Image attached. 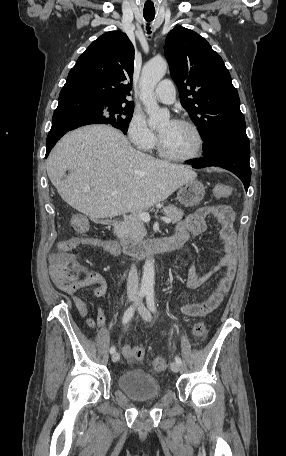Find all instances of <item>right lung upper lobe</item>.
<instances>
[{
  "instance_id": "cb5924a9",
  "label": "right lung upper lobe",
  "mask_w": 286,
  "mask_h": 456,
  "mask_svg": "<svg viewBox=\"0 0 286 456\" xmlns=\"http://www.w3.org/2000/svg\"><path fill=\"white\" fill-rule=\"evenodd\" d=\"M134 47L121 31H110L92 42L70 70L63 89H75L114 102L132 89Z\"/></svg>"
}]
</instances>
